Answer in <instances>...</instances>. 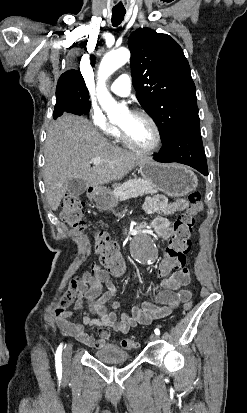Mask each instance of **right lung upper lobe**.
Here are the masks:
<instances>
[{
  "mask_svg": "<svg viewBox=\"0 0 247 413\" xmlns=\"http://www.w3.org/2000/svg\"><path fill=\"white\" fill-rule=\"evenodd\" d=\"M95 62V56H91V64L94 66ZM64 81H84L81 73L77 70H69L63 73L58 82H64Z\"/></svg>",
  "mask_w": 247,
  "mask_h": 413,
  "instance_id": "1",
  "label": "right lung upper lobe"
}]
</instances>
